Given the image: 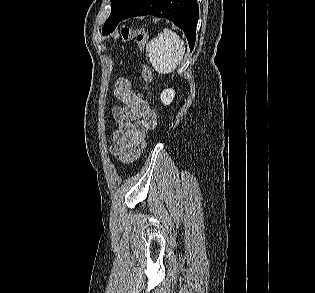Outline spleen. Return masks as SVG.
<instances>
[{"mask_svg":"<svg viewBox=\"0 0 315 293\" xmlns=\"http://www.w3.org/2000/svg\"><path fill=\"white\" fill-rule=\"evenodd\" d=\"M146 52L153 68L160 74H168L182 61L185 45L179 35L165 28L163 33L147 43Z\"/></svg>","mask_w":315,"mask_h":293,"instance_id":"1","label":"spleen"}]
</instances>
